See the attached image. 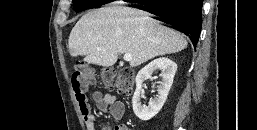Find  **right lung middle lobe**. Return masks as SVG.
<instances>
[{"label": "right lung middle lobe", "mask_w": 257, "mask_h": 130, "mask_svg": "<svg viewBox=\"0 0 257 130\" xmlns=\"http://www.w3.org/2000/svg\"><path fill=\"white\" fill-rule=\"evenodd\" d=\"M74 9L77 12H80L85 9H90L93 7H98L104 5L107 0H72Z\"/></svg>", "instance_id": "1"}]
</instances>
